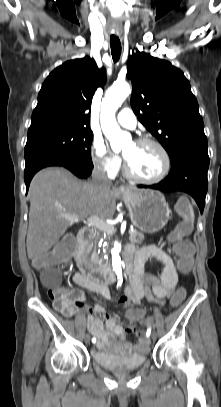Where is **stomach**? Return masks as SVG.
<instances>
[{"instance_id":"1","label":"stomach","mask_w":221,"mask_h":407,"mask_svg":"<svg viewBox=\"0 0 221 407\" xmlns=\"http://www.w3.org/2000/svg\"><path fill=\"white\" fill-rule=\"evenodd\" d=\"M122 197L133 225L139 230L155 233L167 224L171 211L161 192L129 189Z\"/></svg>"}]
</instances>
